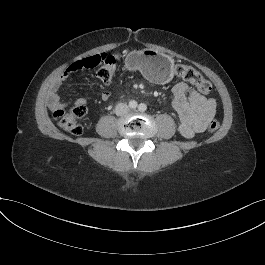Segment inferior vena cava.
<instances>
[{"label":"inferior vena cava","mask_w":265,"mask_h":265,"mask_svg":"<svg viewBox=\"0 0 265 265\" xmlns=\"http://www.w3.org/2000/svg\"><path fill=\"white\" fill-rule=\"evenodd\" d=\"M129 112V106L124 103H120L116 106L115 113L119 116H123Z\"/></svg>","instance_id":"1"}]
</instances>
